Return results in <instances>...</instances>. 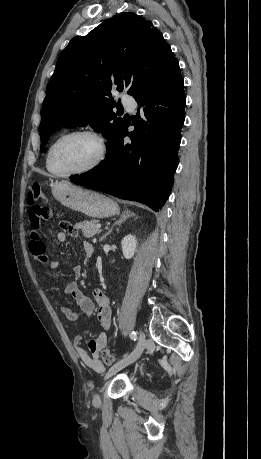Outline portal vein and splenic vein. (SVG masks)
Masks as SVG:
<instances>
[{"label":"portal vein and splenic vein","instance_id":"portal-vein-and-splenic-vein-1","mask_svg":"<svg viewBox=\"0 0 261 459\" xmlns=\"http://www.w3.org/2000/svg\"><path fill=\"white\" fill-rule=\"evenodd\" d=\"M97 228L100 229L101 228V224H97Z\"/></svg>","mask_w":261,"mask_h":459}]
</instances>
